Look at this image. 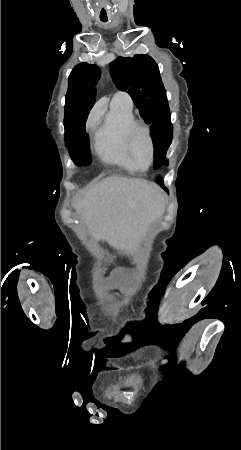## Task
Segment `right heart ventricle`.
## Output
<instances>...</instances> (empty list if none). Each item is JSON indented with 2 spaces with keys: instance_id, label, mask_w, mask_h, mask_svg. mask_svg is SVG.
I'll return each mask as SVG.
<instances>
[{
  "instance_id": "1",
  "label": "right heart ventricle",
  "mask_w": 241,
  "mask_h": 450,
  "mask_svg": "<svg viewBox=\"0 0 241 450\" xmlns=\"http://www.w3.org/2000/svg\"><path fill=\"white\" fill-rule=\"evenodd\" d=\"M132 123L135 120L130 102L114 100L104 122L93 133L94 147L102 160L124 167L136 163L131 162L130 150L126 149L128 143L123 141L125 136L130 135L125 133V128Z\"/></svg>"
}]
</instances>
